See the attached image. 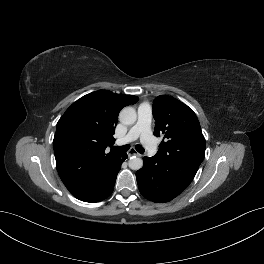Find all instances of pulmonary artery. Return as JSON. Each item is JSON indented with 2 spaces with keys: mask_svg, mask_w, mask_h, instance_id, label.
I'll return each mask as SVG.
<instances>
[{
  "mask_svg": "<svg viewBox=\"0 0 264 264\" xmlns=\"http://www.w3.org/2000/svg\"><path fill=\"white\" fill-rule=\"evenodd\" d=\"M152 108L149 104L143 103L138 107L137 122L131 127L126 136L117 140L118 145H124L140 138L142 144L150 156L157 153V145L150 131Z\"/></svg>",
  "mask_w": 264,
  "mask_h": 264,
  "instance_id": "obj_1",
  "label": "pulmonary artery"
}]
</instances>
